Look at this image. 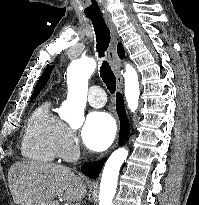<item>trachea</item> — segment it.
<instances>
[{"label": "trachea", "instance_id": "trachea-1", "mask_svg": "<svg viewBox=\"0 0 199 205\" xmlns=\"http://www.w3.org/2000/svg\"><path fill=\"white\" fill-rule=\"evenodd\" d=\"M92 21L95 35H96V50L99 58L105 57V52L110 43V30L105 23L103 17H89ZM100 77L111 94L116 91V77L111 69V66L106 60L102 61L100 67Z\"/></svg>", "mask_w": 199, "mask_h": 205}]
</instances>
